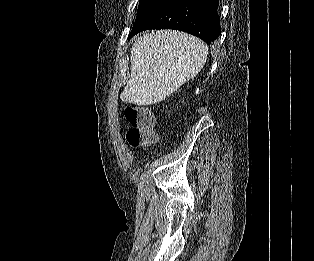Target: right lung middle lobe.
I'll list each match as a JSON object with an SVG mask.
<instances>
[{
  "label": "right lung middle lobe",
  "mask_w": 314,
  "mask_h": 261,
  "mask_svg": "<svg viewBox=\"0 0 314 261\" xmlns=\"http://www.w3.org/2000/svg\"><path fill=\"white\" fill-rule=\"evenodd\" d=\"M171 0H140L139 8L137 11V18L134 25H140L165 5H167Z\"/></svg>",
  "instance_id": "obj_1"
}]
</instances>
